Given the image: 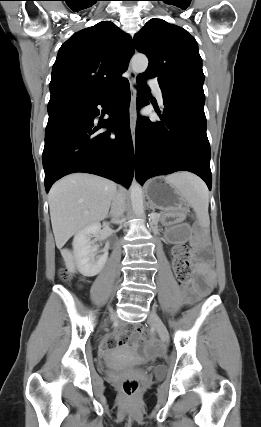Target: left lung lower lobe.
<instances>
[{
  "instance_id": "obj_1",
  "label": "left lung lower lobe",
  "mask_w": 261,
  "mask_h": 427,
  "mask_svg": "<svg viewBox=\"0 0 261 427\" xmlns=\"http://www.w3.org/2000/svg\"><path fill=\"white\" fill-rule=\"evenodd\" d=\"M137 84L147 89L145 79ZM163 92L162 121L139 117L136 125L135 175L145 180L175 171H190L201 177L211 190L210 145L206 134L205 96L186 90ZM148 97L138 91V108L148 105Z\"/></svg>"
}]
</instances>
